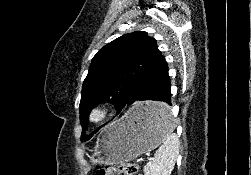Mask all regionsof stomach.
Instances as JSON below:
<instances>
[{
    "label": "stomach",
    "instance_id": "0dacf381",
    "mask_svg": "<svg viewBox=\"0 0 251 175\" xmlns=\"http://www.w3.org/2000/svg\"><path fill=\"white\" fill-rule=\"evenodd\" d=\"M157 105L159 100H138L123 117L103 127L89 155L92 165L132 161L163 143L164 134H174V129H161L173 128L171 114H155L170 111V106Z\"/></svg>",
    "mask_w": 251,
    "mask_h": 175
}]
</instances>
